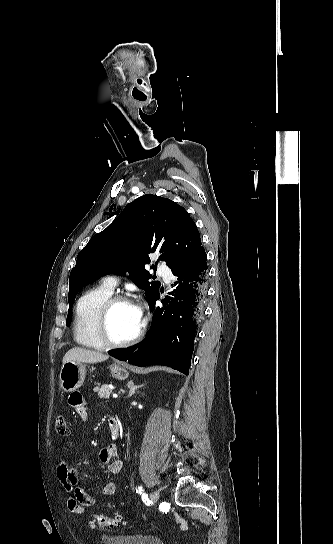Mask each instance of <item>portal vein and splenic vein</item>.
<instances>
[{
  "label": "portal vein and splenic vein",
  "instance_id": "obj_1",
  "mask_svg": "<svg viewBox=\"0 0 333 544\" xmlns=\"http://www.w3.org/2000/svg\"><path fill=\"white\" fill-rule=\"evenodd\" d=\"M113 398H118V394L114 393L113 395Z\"/></svg>",
  "mask_w": 333,
  "mask_h": 544
}]
</instances>
